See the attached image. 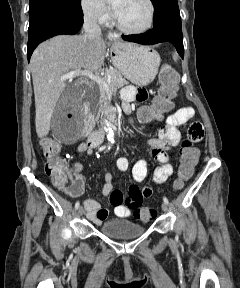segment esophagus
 I'll list each match as a JSON object with an SVG mask.
<instances>
[{"instance_id":"34e87169","label":"esophagus","mask_w":240,"mask_h":288,"mask_svg":"<svg viewBox=\"0 0 240 288\" xmlns=\"http://www.w3.org/2000/svg\"><path fill=\"white\" fill-rule=\"evenodd\" d=\"M108 38H109L110 40H116V39H117V34L110 32V33L108 34Z\"/></svg>"}]
</instances>
